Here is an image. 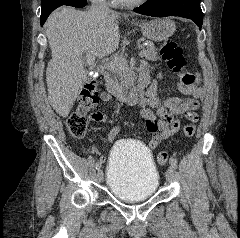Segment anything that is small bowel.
<instances>
[{"mask_svg": "<svg viewBox=\"0 0 240 238\" xmlns=\"http://www.w3.org/2000/svg\"><path fill=\"white\" fill-rule=\"evenodd\" d=\"M141 72L148 74L147 68L143 66ZM161 78L158 76L147 89L144 99L140 102V114L145 121L146 128L151 134L149 142L150 148L154 149L165 139L177 133L180 129V120L175 116L182 115L187 121L194 123L198 119L195 112L199 107V99L202 97L203 91L198 85L190 88L177 83V89L182 96L170 97L161 101L157 96V82ZM100 99L104 102L112 100L109 93L103 92ZM95 122H107V115L101 111H95L90 115ZM119 133V127L113 126L109 129L107 143H116V135ZM104 154L100 155L99 161L103 162Z\"/></svg>", "mask_w": 240, "mask_h": 238, "instance_id": "obj_1", "label": "small bowel"}]
</instances>
